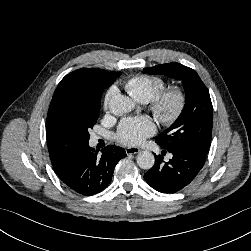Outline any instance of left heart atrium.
Wrapping results in <instances>:
<instances>
[{
	"mask_svg": "<svg viewBox=\"0 0 251 251\" xmlns=\"http://www.w3.org/2000/svg\"><path fill=\"white\" fill-rule=\"evenodd\" d=\"M155 125L153 121L145 116L123 120L116 134V139L123 145L136 146L146 138L154 134Z\"/></svg>",
	"mask_w": 251,
	"mask_h": 251,
	"instance_id": "obj_1",
	"label": "left heart atrium"
}]
</instances>
